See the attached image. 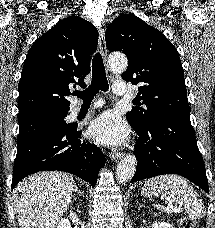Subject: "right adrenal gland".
Instances as JSON below:
<instances>
[{
	"instance_id": "1",
	"label": "right adrenal gland",
	"mask_w": 215,
	"mask_h": 228,
	"mask_svg": "<svg viewBox=\"0 0 215 228\" xmlns=\"http://www.w3.org/2000/svg\"><path fill=\"white\" fill-rule=\"evenodd\" d=\"M75 192H77L78 196H82V198H85L87 202V196H84L82 190H80V186H75Z\"/></svg>"
}]
</instances>
